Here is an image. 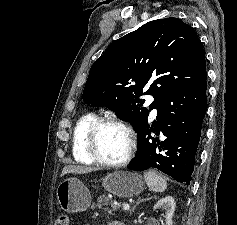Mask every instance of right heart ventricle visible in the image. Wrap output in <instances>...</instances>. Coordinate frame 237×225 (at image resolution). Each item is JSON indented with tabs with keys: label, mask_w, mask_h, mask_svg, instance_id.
I'll use <instances>...</instances> for the list:
<instances>
[{
	"label": "right heart ventricle",
	"mask_w": 237,
	"mask_h": 225,
	"mask_svg": "<svg viewBox=\"0 0 237 225\" xmlns=\"http://www.w3.org/2000/svg\"><path fill=\"white\" fill-rule=\"evenodd\" d=\"M97 119L98 117L95 113L88 112L82 115L75 123L72 135V154L78 162L94 163L87 151L86 138L89 128Z\"/></svg>",
	"instance_id": "1"
}]
</instances>
